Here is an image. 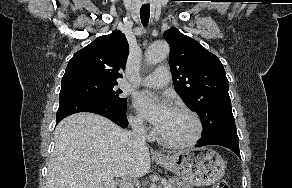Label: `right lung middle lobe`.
Wrapping results in <instances>:
<instances>
[{"mask_svg": "<svg viewBox=\"0 0 292 188\" xmlns=\"http://www.w3.org/2000/svg\"><path fill=\"white\" fill-rule=\"evenodd\" d=\"M117 82L89 77L62 80L59 98L80 96L90 99L106 108L125 109L127 100L122 98V91L116 88Z\"/></svg>", "mask_w": 292, "mask_h": 188, "instance_id": "dd1d6c3e", "label": "right lung middle lobe"}]
</instances>
